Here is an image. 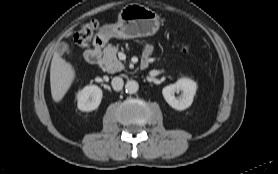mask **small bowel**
<instances>
[{
  "label": "small bowel",
  "instance_id": "obj_1",
  "mask_svg": "<svg viewBox=\"0 0 278 174\" xmlns=\"http://www.w3.org/2000/svg\"><path fill=\"white\" fill-rule=\"evenodd\" d=\"M151 51H152V46L148 45L147 48H146V54L151 53Z\"/></svg>",
  "mask_w": 278,
  "mask_h": 174
}]
</instances>
